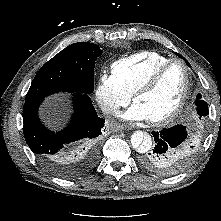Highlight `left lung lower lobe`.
<instances>
[{"label": "left lung lower lobe", "instance_id": "1", "mask_svg": "<svg viewBox=\"0 0 221 221\" xmlns=\"http://www.w3.org/2000/svg\"><path fill=\"white\" fill-rule=\"evenodd\" d=\"M152 135L155 146L140 160L146 170L160 176H171L187 167L195 141L187 134L185 126L175 125L152 131Z\"/></svg>", "mask_w": 221, "mask_h": 221}]
</instances>
